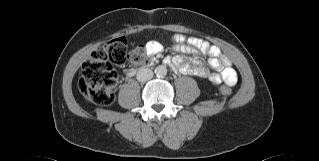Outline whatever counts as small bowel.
<instances>
[{
	"mask_svg": "<svg viewBox=\"0 0 319 161\" xmlns=\"http://www.w3.org/2000/svg\"><path fill=\"white\" fill-rule=\"evenodd\" d=\"M171 39L175 43L173 46L174 50L180 53L172 58V66L177 72L207 78L215 84L225 82L233 85L235 83L237 79L236 71L232 67L230 60L222 56L217 46L211 45L203 39L187 37L181 33L172 34ZM156 45L159 46V51L151 54L160 56L163 45L159 41H149L146 44V49L151 52V49ZM198 52L210 57L208 64L215 72L209 71L199 59L193 56H185V54L191 55ZM186 59L189 60L188 63L185 62Z\"/></svg>",
	"mask_w": 319,
	"mask_h": 161,
	"instance_id": "small-bowel-1",
	"label": "small bowel"
}]
</instances>
